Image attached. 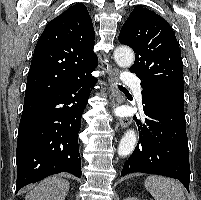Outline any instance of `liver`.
<instances>
[{
	"label": "liver",
	"instance_id": "1",
	"mask_svg": "<svg viewBox=\"0 0 201 200\" xmlns=\"http://www.w3.org/2000/svg\"><path fill=\"white\" fill-rule=\"evenodd\" d=\"M70 184L58 176L49 177L28 192L26 200H65Z\"/></svg>",
	"mask_w": 201,
	"mask_h": 200
}]
</instances>
